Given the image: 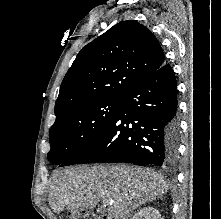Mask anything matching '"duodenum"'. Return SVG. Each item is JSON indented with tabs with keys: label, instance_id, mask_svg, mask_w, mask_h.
Masks as SVG:
<instances>
[{
	"label": "duodenum",
	"instance_id": "duodenum-1",
	"mask_svg": "<svg viewBox=\"0 0 221 219\" xmlns=\"http://www.w3.org/2000/svg\"><path fill=\"white\" fill-rule=\"evenodd\" d=\"M100 219H109V218L106 216H102Z\"/></svg>",
	"mask_w": 221,
	"mask_h": 219
}]
</instances>
